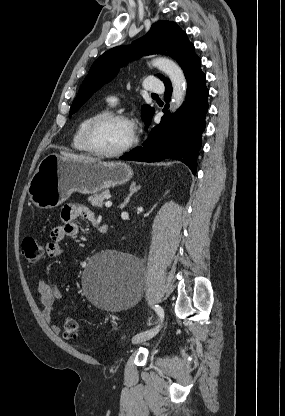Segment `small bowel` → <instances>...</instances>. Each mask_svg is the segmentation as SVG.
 <instances>
[{
    "label": "small bowel",
    "mask_w": 285,
    "mask_h": 416,
    "mask_svg": "<svg viewBox=\"0 0 285 416\" xmlns=\"http://www.w3.org/2000/svg\"><path fill=\"white\" fill-rule=\"evenodd\" d=\"M79 218L88 220L96 225L98 224V219L87 207L80 205L65 206L61 210L62 224L52 228L50 232L51 241L46 246V252L50 258H56L61 255L62 249L60 244L65 238L76 236L79 233V227L76 224V220ZM37 289L43 306L42 314L44 320L55 334H61V327L53 320V311L57 302L61 299L59 288L56 285L40 281Z\"/></svg>",
    "instance_id": "c3829d8e"
}]
</instances>
